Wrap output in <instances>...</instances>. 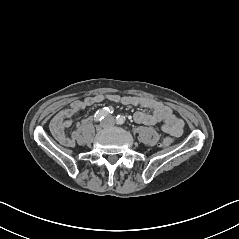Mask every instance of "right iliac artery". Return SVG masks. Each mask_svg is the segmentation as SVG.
<instances>
[{"mask_svg": "<svg viewBox=\"0 0 239 239\" xmlns=\"http://www.w3.org/2000/svg\"><path fill=\"white\" fill-rule=\"evenodd\" d=\"M113 113V108L112 107H104L100 110H98L95 115H94V120L95 121H101L103 120L107 115Z\"/></svg>", "mask_w": 239, "mask_h": 239, "instance_id": "82829eb1", "label": "right iliac artery"}]
</instances>
